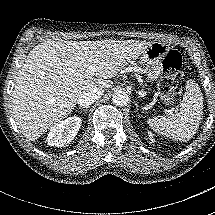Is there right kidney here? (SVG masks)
I'll return each instance as SVG.
<instances>
[{
    "label": "right kidney",
    "mask_w": 215,
    "mask_h": 215,
    "mask_svg": "<svg viewBox=\"0 0 215 215\" xmlns=\"http://www.w3.org/2000/svg\"><path fill=\"white\" fill-rule=\"evenodd\" d=\"M81 124L82 119L78 116L58 121L50 128L46 139L47 144L56 147L66 146L76 137Z\"/></svg>",
    "instance_id": "right-kidney-1"
}]
</instances>
